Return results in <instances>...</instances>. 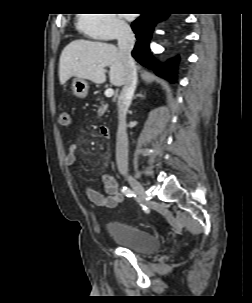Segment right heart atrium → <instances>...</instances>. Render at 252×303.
Instances as JSON below:
<instances>
[{
    "label": "right heart atrium",
    "mask_w": 252,
    "mask_h": 303,
    "mask_svg": "<svg viewBox=\"0 0 252 303\" xmlns=\"http://www.w3.org/2000/svg\"><path fill=\"white\" fill-rule=\"evenodd\" d=\"M77 24L89 37L102 41L123 37L130 30L119 14H80Z\"/></svg>",
    "instance_id": "obj_1"
}]
</instances>
